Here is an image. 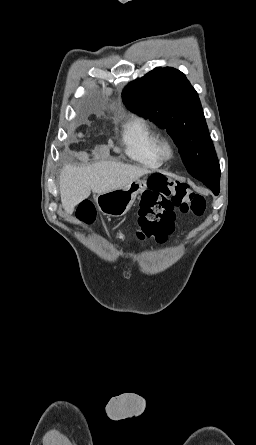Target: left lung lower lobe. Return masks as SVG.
Instances as JSON below:
<instances>
[{"instance_id":"left-lung-lower-lobe-1","label":"left lung lower lobe","mask_w":256,"mask_h":445,"mask_svg":"<svg viewBox=\"0 0 256 445\" xmlns=\"http://www.w3.org/2000/svg\"><path fill=\"white\" fill-rule=\"evenodd\" d=\"M196 179L202 181L207 187H209L215 195L219 193L220 187H219V181L220 176L218 177H212L208 175H192Z\"/></svg>"}]
</instances>
